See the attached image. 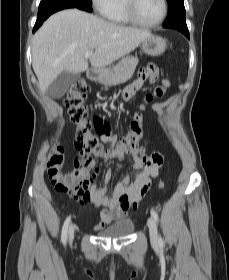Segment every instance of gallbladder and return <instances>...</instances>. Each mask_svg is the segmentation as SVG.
<instances>
[{"instance_id": "obj_1", "label": "gallbladder", "mask_w": 229, "mask_h": 280, "mask_svg": "<svg viewBox=\"0 0 229 280\" xmlns=\"http://www.w3.org/2000/svg\"><path fill=\"white\" fill-rule=\"evenodd\" d=\"M79 77V73L63 71L49 86L48 94L52 98H61Z\"/></svg>"}]
</instances>
